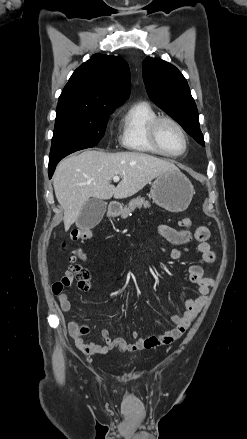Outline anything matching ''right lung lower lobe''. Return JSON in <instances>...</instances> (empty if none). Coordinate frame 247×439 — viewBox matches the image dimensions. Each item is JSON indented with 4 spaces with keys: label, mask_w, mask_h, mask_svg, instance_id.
<instances>
[{
    "label": "right lung lower lobe",
    "mask_w": 247,
    "mask_h": 439,
    "mask_svg": "<svg viewBox=\"0 0 247 439\" xmlns=\"http://www.w3.org/2000/svg\"><path fill=\"white\" fill-rule=\"evenodd\" d=\"M56 165H57V164H56ZM56 165L49 166V178L52 177V175H53V173H54V171H55V167H56Z\"/></svg>",
    "instance_id": "obj_1"
}]
</instances>
